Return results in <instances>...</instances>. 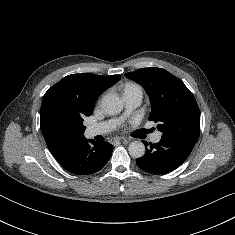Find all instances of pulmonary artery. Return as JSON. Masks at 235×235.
Segmentation results:
<instances>
[{
  "mask_svg": "<svg viewBox=\"0 0 235 235\" xmlns=\"http://www.w3.org/2000/svg\"><path fill=\"white\" fill-rule=\"evenodd\" d=\"M123 99L125 103L124 115L119 118H113L107 121L89 125L86 129V135L88 137L106 134L116 129L122 123L124 118L130 115L141 104L143 99L142 88L137 85H131L126 87L123 92ZM151 140L154 143H158L161 140V133H154L151 137Z\"/></svg>",
  "mask_w": 235,
  "mask_h": 235,
  "instance_id": "obj_1",
  "label": "pulmonary artery"
}]
</instances>
